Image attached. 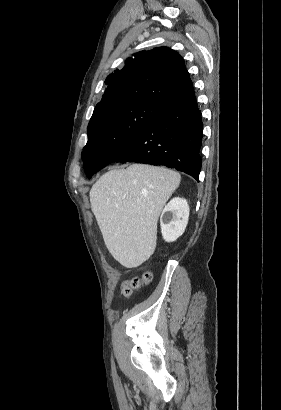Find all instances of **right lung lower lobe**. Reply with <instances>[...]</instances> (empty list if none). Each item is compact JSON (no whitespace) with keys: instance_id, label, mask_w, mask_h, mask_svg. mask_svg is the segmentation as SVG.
I'll return each instance as SVG.
<instances>
[{"instance_id":"right-lung-lower-lobe-1","label":"right lung lower lobe","mask_w":281,"mask_h":410,"mask_svg":"<svg viewBox=\"0 0 281 410\" xmlns=\"http://www.w3.org/2000/svg\"><path fill=\"white\" fill-rule=\"evenodd\" d=\"M203 122L194 92L165 107L113 162L164 165L199 180Z\"/></svg>"}]
</instances>
